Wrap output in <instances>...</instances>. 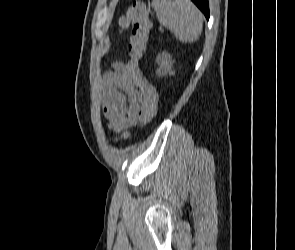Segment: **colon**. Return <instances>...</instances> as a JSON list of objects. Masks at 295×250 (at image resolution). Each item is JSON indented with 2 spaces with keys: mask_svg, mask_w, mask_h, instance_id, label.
Listing matches in <instances>:
<instances>
[{
  "mask_svg": "<svg viewBox=\"0 0 295 250\" xmlns=\"http://www.w3.org/2000/svg\"><path fill=\"white\" fill-rule=\"evenodd\" d=\"M119 25L122 28L131 26L129 42V60L123 67V77L135 84L142 95V119L141 124H148L156 114L158 97L154 87L142 75L139 62L145 52L150 21L146 6L142 2H133L120 18Z\"/></svg>",
  "mask_w": 295,
  "mask_h": 250,
  "instance_id": "colon-1",
  "label": "colon"
}]
</instances>
